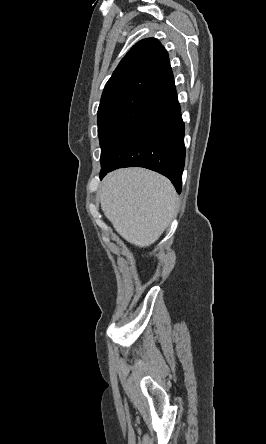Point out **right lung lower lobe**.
<instances>
[{
	"label": "right lung lower lobe",
	"instance_id": "98d812e1",
	"mask_svg": "<svg viewBox=\"0 0 266 444\" xmlns=\"http://www.w3.org/2000/svg\"><path fill=\"white\" fill-rule=\"evenodd\" d=\"M184 163V123L175 99L101 163L100 175L102 178L107 172L122 167H144L168 177L180 193Z\"/></svg>",
	"mask_w": 266,
	"mask_h": 444
}]
</instances>
